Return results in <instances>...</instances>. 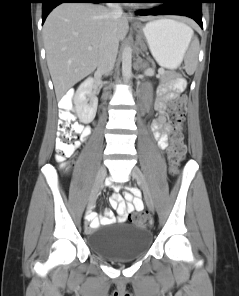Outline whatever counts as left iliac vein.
Instances as JSON below:
<instances>
[{
    "mask_svg": "<svg viewBox=\"0 0 239 296\" xmlns=\"http://www.w3.org/2000/svg\"><path fill=\"white\" fill-rule=\"evenodd\" d=\"M131 176L141 186L143 193H144V199H145L147 207L151 211H154V202H153L152 196L150 194L148 185L146 183V180H145V177H144L142 171L138 167H133V169L131 170Z\"/></svg>",
    "mask_w": 239,
    "mask_h": 296,
    "instance_id": "left-iliac-vein-1",
    "label": "left iliac vein"
}]
</instances>
